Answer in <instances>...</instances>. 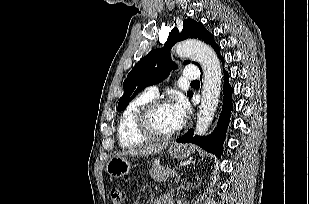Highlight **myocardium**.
I'll return each instance as SVG.
<instances>
[{"label":"myocardium","mask_w":309,"mask_h":204,"mask_svg":"<svg viewBox=\"0 0 309 204\" xmlns=\"http://www.w3.org/2000/svg\"><path fill=\"white\" fill-rule=\"evenodd\" d=\"M167 105H171L168 100L152 99L141 106L135 116V127L142 136L151 140H164L173 137L180 131L181 127H178L168 133H158L152 128L150 119L153 112Z\"/></svg>","instance_id":"obj_1"}]
</instances>
